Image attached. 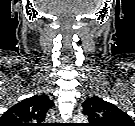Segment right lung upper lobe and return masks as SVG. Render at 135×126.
Listing matches in <instances>:
<instances>
[{
	"instance_id": "cb5924a9",
	"label": "right lung upper lobe",
	"mask_w": 135,
	"mask_h": 126,
	"mask_svg": "<svg viewBox=\"0 0 135 126\" xmlns=\"http://www.w3.org/2000/svg\"><path fill=\"white\" fill-rule=\"evenodd\" d=\"M53 102L46 95H34L9 108L0 126H41Z\"/></svg>"
}]
</instances>
